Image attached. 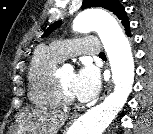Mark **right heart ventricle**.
<instances>
[{"label": "right heart ventricle", "instance_id": "1", "mask_svg": "<svg viewBox=\"0 0 153 134\" xmlns=\"http://www.w3.org/2000/svg\"><path fill=\"white\" fill-rule=\"evenodd\" d=\"M61 59L50 47H38L32 56L28 70V92L33 104L44 108H58L62 101L58 95L54 70Z\"/></svg>", "mask_w": 153, "mask_h": 134}]
</instances>
